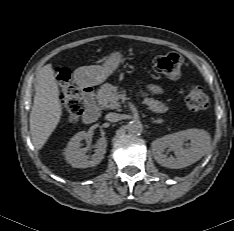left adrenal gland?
Here are the masks:
<instances>
[{
	"label": "left adrenal gland",
	"instance_id": "a2214340",
	"mask_svg": "<svg viewBox=\"0 0 234 231\" xmlns=\"http://www.w3.org/2000/svg\"><path fill=\"white\" fill-rule=\"evenodd\" d=\"M161 122H162L161 119H159V120H153V121H152V123H158V124L161 123Z\"/></svg>",
	"mask_w": 234,
	"mask_h": 231
}]
</instances>
